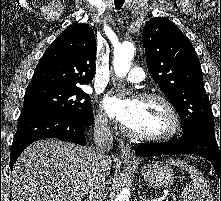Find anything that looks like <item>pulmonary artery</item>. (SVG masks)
<instances>
[{
    "label": "pulmonary artery",
    "mask_w": 221,
    "mask_h": 201,
    "mask_svg": "<svg viewBox=\"0 0 221 201\" xmlns=\"http://www.w3.org/2000/svg\"><path fill=\"white\" fill-rule=\"evenodd\" d=\"M145 79V73L140 67H133L126 77V80L131 83H141Z\"/></svg>",
    "instance_id": "pulmonary-artery-1"
}]
</instances>
